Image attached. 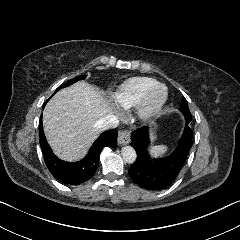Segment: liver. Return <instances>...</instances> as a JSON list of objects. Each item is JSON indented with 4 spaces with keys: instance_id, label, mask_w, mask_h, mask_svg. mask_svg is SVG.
I'll return each mask as SVG.
<instances>
[{
    "instance_id": "1",
    "label": "liver",
    "mask_w": 240,
    "mask_h": 240,
    "mask_svg": "<svg viewBox=\"0 0 240 240\" xmlns=\"http://www.w3.org/2000/svg\"><path fill=\"white\" fill-rule=\"evenodd\" d=\"M99 87L79 80L58 90L43 110V132L52 153L68 163L84 159L101 134L95 123L116 112Z\"/></svg>"
}]
</instances>
